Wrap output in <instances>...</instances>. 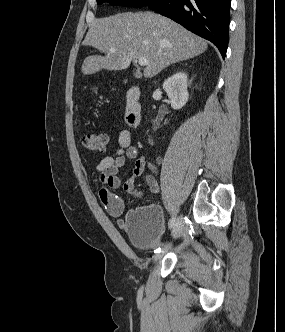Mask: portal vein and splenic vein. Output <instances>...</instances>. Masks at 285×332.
<instances>
[{
	"label": "portal vein and splenic vein",
	"mask_w": 285,
	"mask_h": 332,
	"mask_svg": "<svg viewBox=\"0 0 285 332\" xmlns=\"http://www.w3.org/2000/svg\"><path fill=\"white\" fill-rule=\"evenodd\" d=\"M109 51L111 53H115L116 50L114 48H111ZM138 63H139L140 66H146V65H148V60L145 59V58H140Z\"/></svg>",
	"instance_id": "18ae733b"
}]
</instances>
